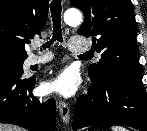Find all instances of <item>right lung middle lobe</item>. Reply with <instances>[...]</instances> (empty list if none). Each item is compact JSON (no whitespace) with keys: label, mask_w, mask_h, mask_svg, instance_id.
I'll use <instances>...</instances> for the list:
<instances>
[{"label":"right lung middle lobe","mask_w":147,"mask_h":131,"mask_svg":"<svg viewBox=\"0 0 147 131\" xmlns=\"http://www.w3.org/2000/svg\"><path fill=\"white\" fill-rule=\"evenodd\" d=\"M24 59L0 58V77H17L23 74Z\"/></svg>","instance_id":"right-lung-middle-lobe-1"}]
</instances>
